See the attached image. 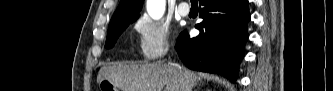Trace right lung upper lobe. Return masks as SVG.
Masks as SVG:
<instances>
[{"instance_id":"obj_1","label":"right lung upper lobe","mask_w":333,"mask_h":91,"mask_svg":"<svg viewBox=\"0 0 333 91\" xmlns=\"http://www.w3.org/2000/svg\"><path fill=\"white\" fill-rule=\"evenodd\" d=\"M143 0H121L110 22L125 18L138 17Z\"/></svg>"}]
</instances>
